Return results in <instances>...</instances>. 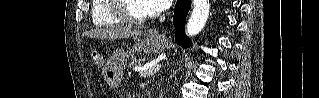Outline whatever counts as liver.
<instances>
[{"mask_svg": "<svg viewBox=\"0 0 319 98\" xmlns=\"http://www.w3.org/2000/svg\"><path fill=\"white\" fill-rule=\"evenodd\" d=\"M142 32L139 30H133L130 28H121V27H109V28H100L88 32L86 35L92 38L99 39H117V38H129L135 35H139Z\"/></svg>", "mask_w": 319, "mask_h": 98, "instance_id": "liver-1", "label": "liver"}]
</instances>
